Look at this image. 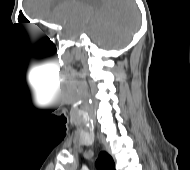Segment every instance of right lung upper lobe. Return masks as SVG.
Instances as JSON below:
<instances>
[{
  "instance_id": "cb5924a9",
  "label": "right lung upper lobe",
  "mask_w": 190,
  "mask_h": 170,
  "mask_svg": "<svg viewBox=\"0 0 190 170\" xmlns=\"http://www.w3.org/2000/svg\"><path fill=\"white\" fill-rule=\"evenodd\" d=\"M96 166L101 170H115L114 161L106 152H101L99 154Z\"/></svg>"
}]
</instances>
